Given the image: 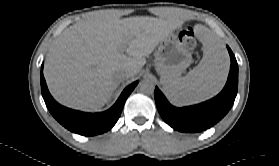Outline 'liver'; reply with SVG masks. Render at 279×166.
I'll list each match as a JSON object with an SVG mask.
<instances>
[{
	"label": "liver",
	"mask_w": 279,
	"mask_h": 166,
	"mask_svg": "<svg viewBox=\"0 0 279 166\" xmlns=\"http://www.w3.org/2000/svg\"><path fill=\"white\" fill-rule=\"evenodd\" d=\"M182 22L174 12L165 18L136 16L119 19L97 13L65 29L51 46L44 76L61 104L98 111L108 102L120 81L116 72L131 68L135 76L155 47ZM124 47L129 56L120 53Z\"/></svg>",
	"instance_id": "1"
}]
</instances>
